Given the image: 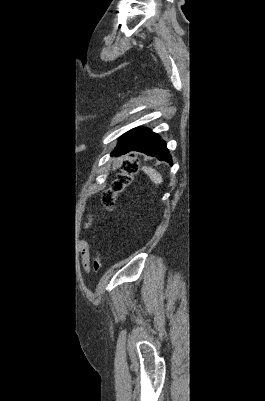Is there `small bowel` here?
Wrapping results in <instances>:
<instances>
[{
    "label": "small bowel",
    "instance_id": "c3829d8e",
    "mask_svg": "<svg viewBox=\"0 0 265 401\" xmlns=\"http://www.w3.org/2000/svg\"><path fill=\"white\" fill-rule=\"evenodd\" d=\"M81 256H82V263L85 269H89V262H90V254H89V246L87 243H84L81 248Z\"/></svg>",
    "mask_w": 265,
    "mask_h": 401
}]
</instances>
